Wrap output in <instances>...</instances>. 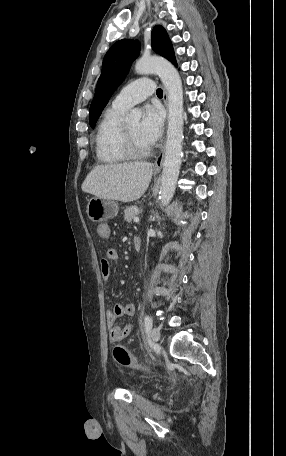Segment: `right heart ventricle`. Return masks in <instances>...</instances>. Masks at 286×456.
<instances>
[{
    "instance_id": "right-heart-ventricle-1",
    "label": "right heart ventricle",
    "mask_w": 286,
    "mask_h": 456,
    "mask_svg": "<svg viewBox=\"0 0 286 456\" xmlns=\"http://www.w3.org/2000/svg\"><path fill=\"white\" fill-rule=\"evenodd\" d=\"M124 112V109L111 106L98 125L95 150L98 160L102 163L118 164L128 160L122 144L121 116Z\"/></svg>"
}]
</instances>
